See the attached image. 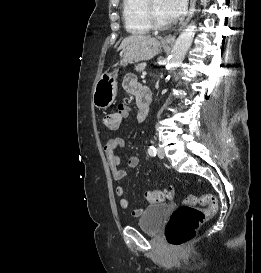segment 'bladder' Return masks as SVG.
<instances>
[{"label":"bladder","instance_id":"bladder-1","mask_svg":"<svg viewBox=\"0 0 261 273\" xmlns=\"http://www.w3.org/2000/svg\"><path fill=\"white\" fill-rule=\"evenodd\" d=\"M168 209V205L166 204L147 206L143 209V212L138 220L139 228L146 233H159L168 213Z\"/></svg>","mask_w":261,"mask_h":273}]
</instances>
